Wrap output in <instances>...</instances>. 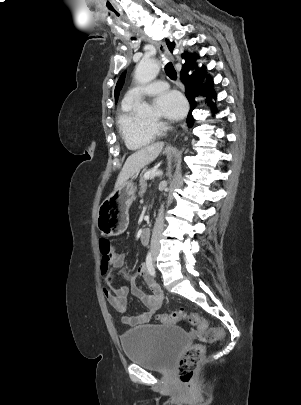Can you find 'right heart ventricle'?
<instances>
[{
	"mask_svg": "<svg viewBox=\"0 0 301 405\" xmlns=\"http://www.w3.org/2000/svg\"><path fill=\"white\" fill-rule=\"evenodd\" d=\"M135 102L123 101L117 115L118 131L130 150H138L150 144L155 138V131L141 122L134 113Z\"/></svg>",
	"mask_w": 301,
	"mask_h": 405,
	"instance_id": "e07e8e85",
	"label": "right heart ventricle"
}]
</instances>
